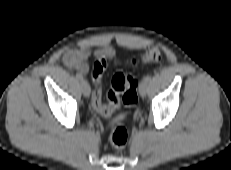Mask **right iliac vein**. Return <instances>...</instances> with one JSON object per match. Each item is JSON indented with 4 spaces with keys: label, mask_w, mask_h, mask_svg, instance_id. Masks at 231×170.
<instances>
[{
    "label": "right iliac vein",
    "mask_w": 231,
    "mask_h": 170,
    "mask_svg": "<svg viewBox=\"0 0 231 170\" xmlns=\"http://www.w3.org/2000/svg\"><path fill=\"white\" fill-rule=\"evenodd\" d=\"M81 88H82L83 95L88 98L91 94V88L88 82L84 80L81 81Z\"/></svg>",
    "instance_id": "63e3f726"
}]
</instances>
